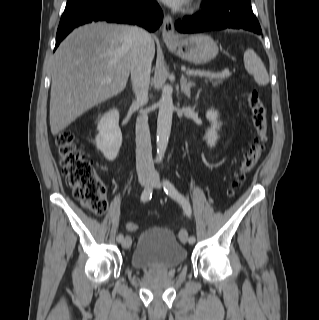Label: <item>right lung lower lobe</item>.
I'll list each match as a JSON object with an SVG mask.
<instances>
[{"label":"right lung lower lobe","mask_w":319,"mask_h":320,"mask_svg":"<svg viewBox=\"0 0 319 320\" xmlns=\"http://www.w3.org/2000/svg\"><path fill=\"white\" fill-rule=\"evenodd\" d=\"M138 24L155 31L163 21V13L155 0H87L65 9L56 34V45L77 26L92 21Z\"/></svg>","instance_id":"1"}]
</instances>
